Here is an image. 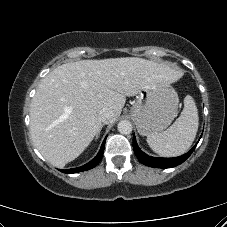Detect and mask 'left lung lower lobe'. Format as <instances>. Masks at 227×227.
<instances>
[{
	"label": "left lung lower lobe",
	"mask_w": 227,
	"mask_h": 227,
	"mask_svg": "<svg viewBox=\"0 0 227 227\" xmlns=\"http://www.w3.org/2000/svg\"><path fill=\"white\" fill-rule=\"evenodd\" d=\"M196 145L186 154L174 158H156L145 154L140 150L136 143L135 135L133 136V150L137 158L146 166L154 168H171L183 163L194 151Z\"/></svg>",
	"instance_id": "1"
}]
</instances>
